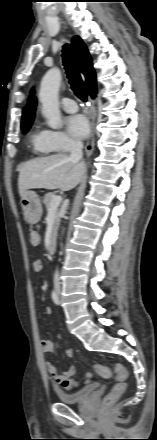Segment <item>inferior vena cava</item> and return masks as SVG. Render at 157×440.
<instances>
[{"label":"inferior vena cava","mask_w":157,"mask_h":440,"mask_svg":"<svg viewBox=\"0 0 157 440\" xmlns=\"http://www.w3.org/2000/svg\"><path fill=\"white\" fill-rule=\"evenodd\" d=\"M83 143L80 140H75L72 144L70 160L74 163H79L83 157ZM54 286L56 289L60 288V279L58 270L54 275Z\"/></svg>","instance_id":"obj_1"}]
</instances>
